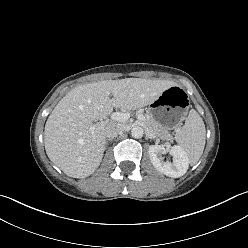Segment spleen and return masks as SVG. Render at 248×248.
I'll use <instances>...</instances> for the list:
<instances>
[{"mask_svg":"<svg viewBox=\"0 0 248 248\" xmlns=\"http://www.w3.org/2000/svg\"><path fill=\"white\" fill-rule=\"evenodd\" d=\"M206 139L204 122L196 110L191 109L185 124L177 131L176 141L194 165L203 154Z\"/></svg>","mask_w":248,"mask_h":248,"instance_id":"3e777b00","label":"spleen"}]
</instances>
